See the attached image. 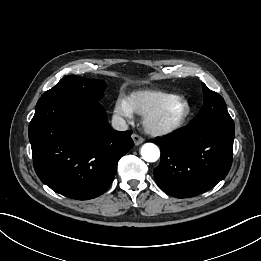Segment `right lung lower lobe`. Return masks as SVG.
Listing matches in <instances>:
<instances>
[{"label": "right lung lower lobe", "mask_w": 261, "mask_h": 261, "mask_svg": "<svg viewBox=\"0 0 261 261\" xmlns=\"http://www.w3.org/2000/svg\"><path fill=\"white\" fill-rule=\"evenodd\" d=\"M113 130L97 101L40 98L29 124L34 169L53 191L77 200L102 195L134 143Z\"/></svg>", "instance_id": "obj_1"}]
</instances>
